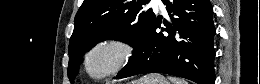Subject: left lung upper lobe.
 <instances>
[{
	"mask_svg": "<svg viewBox=\"0 0 260 84\" xmlns=\"http://www.w3.org/2000/svg\"><path fill=\"white\" fill-rule=\"evenodd\" d=\"M147 0H84L75 16L69 42L68 77L71 82L82 56L98 42L115 39L133 47V55L121 72L139 56L151 23L152 9L143 10Z\"/></svg>",
	"mask_w": 260,
	"mask_h": 84,
	"instance_id": "5c2ea615",
	"label": "left lung upper lobe"
}]
</instances>
